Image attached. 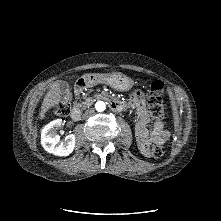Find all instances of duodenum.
<instances>
[{"label": "duodenum", "instance_id": "410a0bca", "mask_svg": "<svg viewBox=\"0 0 221 221\" xmlns=\"http://www.w3.org/2000/svg\"><path fill=\"white\" fill-rule=\"evenodd\" d=\"M91 83V80L87 78H83L79 81V83L76 86V95H80L84 88L88 86ZM109 107L114 112H122L126 109V106L119 100L110 99L109 100ZM70 117L72 120H78L81 117V109L78 105H75L71 112Z\"/></svg>", "mask_w": 221, "mask_h": 221}]
</instances>
